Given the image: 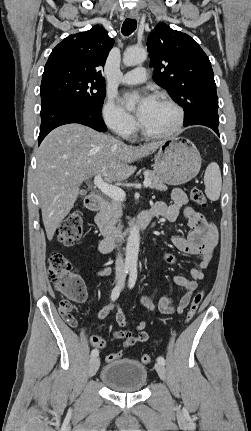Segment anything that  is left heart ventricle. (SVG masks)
Here are the masks:
<instances>
[{"label": "left heart ventricle", "instance_id": "left-heart-ventricle-1", "mask_svg": "<svg viewBox=\"0 0 251 431\" xmlns=\"http://www.w3.org/2000/svg\"><path fill=\"white\" fill-rule=\"evenodd\" d=\"M142 125L151 132L169 130L176 121V111L167 103L155 100L152 107L140 119Z\"/></svg>", "mask_w": 251, "mask_h": 431}]
</instances>
